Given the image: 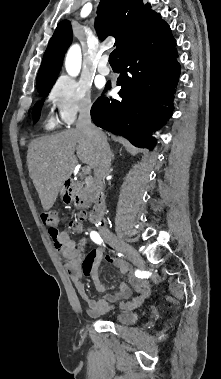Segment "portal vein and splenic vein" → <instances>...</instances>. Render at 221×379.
<instances>
[{
    "label": "portal vein and splenic vein",
    "mask_w": 221,
    "mask_h": 379,
    "mask_svg": "<svg viewBox=\"0 0 221 379\" xmlns=\"http://www.w3.org/2000/svg\"><path fill=\"white\" fill-rule=\"evenodd\" d=\"M90 171H91L90 166H85V167L82 168L83 174H89Z\"/></svg>",
    "instance_id": "obj_1"
}]
</instances>
